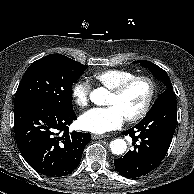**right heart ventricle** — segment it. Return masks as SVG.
<instances>
[{
	"mask_svg": "<svg viewBox=\"0 0 194 194\" xmlns=\"http://www.w3.org/2000/svg\"><path fill=\"white\" fill-rule=\"evenodd\" d=\"M135 76L132 71L124 69H106L93 73L92 78L99 85L111 90L121 82Z\"/></svg>",
	"mask_w": 194,
	"mask_h": 194,
	"instance_id": "obj_1",
	"label": "right heart ventricle"
}]
</instances>
